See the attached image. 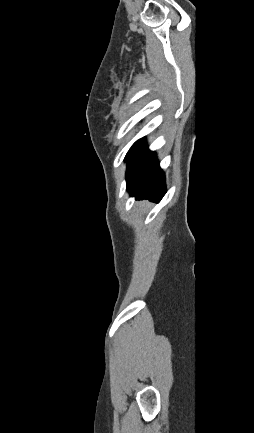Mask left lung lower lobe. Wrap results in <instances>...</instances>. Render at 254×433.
I'll use <instances>...</instances> for the list:
<instances>
[{"label": "left lung lower lobe", "mask_w": 254, "mask_h": 433, "mask_svg": "<svg viewBox=\"0 0 254 433\" xmlns=\"http://www.w3.org/2000/svg\"><path fill=\"white\" fill-rule=\"evenodd\" d=\"M125 160L128 162L126 181L130 194L137 199L160 201L166 192L164 173L155 153L146 148L144 139L134 143Z\"/></svg>", "instance_id": "0a47b994"}]
</instances>
